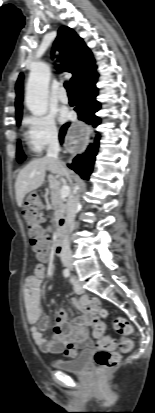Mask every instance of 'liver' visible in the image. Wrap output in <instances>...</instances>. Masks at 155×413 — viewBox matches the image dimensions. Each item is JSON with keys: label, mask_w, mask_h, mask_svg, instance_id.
Listing matches in <instances>:
<instances>
[{"label": "liver", "mask_w": 155, "mask_h": 413, "mask_svg": "<svg viewBox=\"0 0 155 413\" xmlns=\"http://www.w3.org/2000/svg\"><path fill=\"white\" fill-rule=\"evenodd\" d=\"M46 171L63 176L56 166L49 163L46 157L32 160L19 172L15 182L16 201L19 207L22 206L26 194L43 184Z\"/></svg>", "instance_id": "6515ba94"}]
</instances>
